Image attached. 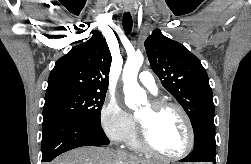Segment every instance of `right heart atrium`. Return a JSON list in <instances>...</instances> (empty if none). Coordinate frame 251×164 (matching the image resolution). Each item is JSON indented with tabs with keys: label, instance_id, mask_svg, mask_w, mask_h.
<instances>
[{
	"label": "right heart atrium",
	"instance_id": "obj_1",
	"mask_svg": "<svg viewBox=\"0 0 251 164\" xmlns=\"http://www.w3.org/2000/svg\"><path fill=\"white\" fill-rule=\"evenodd\" d=\"M100 124L106 136L116 143L127 141L135 130L132 115L114 99L102 106Z\"/></svg>",
	"mask_w": 251,
	"mask_h": 164
}]
</instances>
